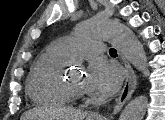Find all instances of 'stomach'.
<instances>
[{"label": "stomach", "instance_id": "stomach-1", "mask_svg": "<svg viewBox=\"0 0 165 120\" xmlns=\"http://www.w3.org/2000/svg\"><path fill=\"white\" fill-rule=\"evenodd\" d=\"M86 120H93L91 117H88Z\"/></svg>", "mask_w": 165, "mask_h": 120}]
</instances>
